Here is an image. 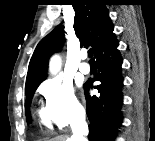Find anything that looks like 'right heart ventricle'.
<instances>
[{
	"label": "right heart ventricle",
	"mask_w": 155,
	"mask_h": 141,
	"mask_svg": "<svg viewBox=\"0 0 155 141\" xmlns=\"http://www.w3.org/2000/svg\"><path fill=\"white\" fill-rule=\"evenodd\" d=\"M40 118H41L42 123H43L45 126L50 127L49 120H48V118L46 117L45 112H40Z\"/></svg>",
	"instance_id": "e07e8e85"
}]
</instances>
